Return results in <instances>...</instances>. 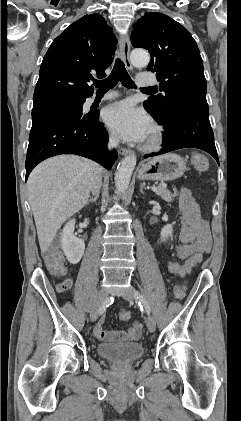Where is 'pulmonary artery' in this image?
Returning <instances> with one entry per match:
<instances>
[{
  "instance_id": "1",
  "label": "pulmonary artery",
  "mask_w": 241,
  "mask_h": 421,
  "mask_svg": "<svg viewBox=\"0 0 241 421\" xmlns=\"http://www.w3.org/2000/svg\"><path fill=\"white\" fill-rule=\"evenodd\" d=\"M137 84H138V86H141V87L152 86V85L157 84V80L154 77L139 76L137 78ZM116 96H117L116 93L110 92V93H107L106 95H104L101 98V101L110 100V99L115 98ZM94 101H96V98L95 97H93V98L90 99V103H93Z\"/></svg>"
}]
</instances>
